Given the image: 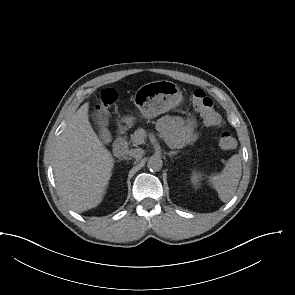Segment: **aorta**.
I'll return each instance as SVG.
<instances>
[{"label":"aorta","mask_w":295,"mask_h":295,"mask_svg":"<svg viewBox=\"0 0 295 295\" xmlns=\"http://www.w3.org/2000/svg\"><path fill=\"white\" fill-rule=\"evenodd\" d=\"M162 162L163 161L159 156L153 155L148 159L147 167L151 171H159L162 168V165H163Z\"/></svg>","instance_id":"obj_1"}]
</instances>
